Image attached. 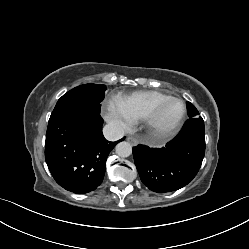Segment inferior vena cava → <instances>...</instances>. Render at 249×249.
I'll list each match as a JSON object with an SVG mask.
<instances>
[{
  "instance_id": "obj_1",
  "label": "inferior vena cava",
  "mask_w": 249,
  "mask_h": 249,
  "mask_svg": "<svg viewBox=\"0 0 249 249\" xmlns=\"http://www.w3.org/2000/svg\"><path fill=\"white\" fill-rule=\"evenodd\" d=\"M103 134L107 140L117 141L124 136L125 132L121 127L117 125L107 124L103 128Z\"/></svg>"
}]
</instances>
